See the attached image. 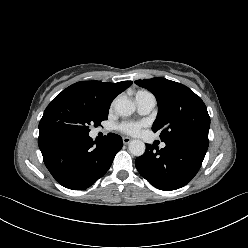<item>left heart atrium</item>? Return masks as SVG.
<instances>
[{"instance_id": "left-heart-atrium-1", "label": "left heart atrium", "mask_w": 248, "mask_h": 248, "mask_svg": "<svg viewBox=\"0 0 248 248\" xmlns=\"http://www.w3.org/2000/svg\"><path fill=\"white\" fill-rule=\"evenodd\" d=\"M143 124L140 122H123L118 128L121 132L129 135H136L141 130Z\"/></svg>"}]
</instances>
